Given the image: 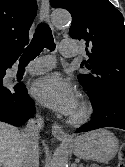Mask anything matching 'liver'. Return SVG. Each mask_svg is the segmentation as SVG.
<instances>
[{"instance_id": "liver-1", "label": "liver", "mask_w": 125, "mask_h": 167, "mask_svg": "<svg viewBox=\"0 0 125 167\" xmlns=\"http://www.w3.org/2000/svg\"><path fill=\"white\" fill-rule=\"evenodd\" d=\"M21 133L16 127L0 122V167H22L23 138Z\"/></svg>"}]
</instances>
